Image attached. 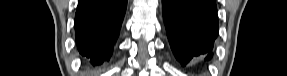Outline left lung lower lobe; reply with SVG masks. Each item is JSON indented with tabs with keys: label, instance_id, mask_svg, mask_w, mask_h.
I'll return each instance as SVG.
<instances>
[{
	"label": "left lung lower lobe",
	"instance_id": "1",
	"mask_svg": "<svg viewBox=\"0 0 287 76\" xmlns=\"http://www.w3.org/2000/svg\"><path fill=\"white\" fill-rule=\"evenodd\" d=\"M167 36L182 66L202 67L218 36L215 0H162Z\"/></svg>",
	"mask_w": 287,
	"mask_h": 76
}]
</instances>
